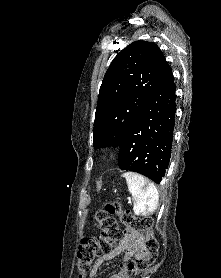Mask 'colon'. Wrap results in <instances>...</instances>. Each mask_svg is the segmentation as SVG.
Wrapping results in <instances>:
<instances>
[{
	"label": "colon",
	"mask_w": 221,
	"mask_h": 278,
	"mask_svg": "<svg viewBox=\"0 0 221 278\" xmlns=\"http://www.w3.org/2000/svg\"><path fill=\"white\" fill-rule=\"evenodd\" d=\"M114 215H117L127 228L146 235L143 240V255L129 263L128 270L144 271L156 260L159 243L153 234L152 218L135 217L130 211L123 209L119 202L113 201L106 203L93 216V220L101 229L100 237H86L82 240L77 252V268L80 275L89 273L95 257L110 252L114 243L120 239L121 232Z\"/></svg>",
	"instance_id": "5ec220e1"
}]
</instances>
